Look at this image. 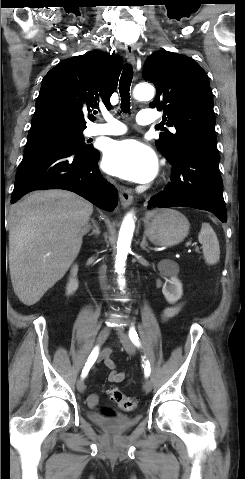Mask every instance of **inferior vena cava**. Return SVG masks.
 Returning a JSON list of instances; mask_svg holds the SVG:
<instances>
[{
	"label": "inferior vena cava",
	"instance_id": "inferior-vena-cava-1",
	"mask_svg": "<svg viewBox=\"0 0 245 479\" xmlns=\"http://www.w3.org/2000/svg\"><path fill=\"white\" fill-rule=\"evenodd\" d=\"M106 280H107L106 279V269H105V267H101L100 272H99V281H100L101 289L104 290V291H106L108 289Z\"/></svg>",
	"mask_w": 245,
	"mask_h": 479
}]
</instances>
